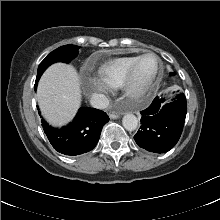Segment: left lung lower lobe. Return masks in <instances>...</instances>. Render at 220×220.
I'll return each mask as SVG.
<instances>
[{"mask_svg": "<svg viewBox=\"0 0 220 220\" xmlns=\"http://www.w3.org/2000/svg\"><path fill=\"white\" fill-rule=\"evenodd\" d=\"M158 96L151 105L141 111L142 126L135 134L136 143L150 152L163 153L178 142L187 113L186 98L179 94L171 103Z\"/></svg>", "mask_w": 220, "mask_h": 220, "instance_id": "left-lung-lower-lobe-1", "label": "left lung lower lobe"}]
</instances>
